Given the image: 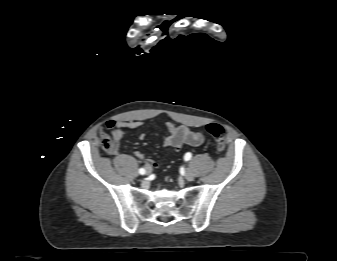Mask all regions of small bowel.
<instances>
[{
	"mask_svg": "<svg viewBox=\"0 0 337 261\" xmlns=\"http://www.w3.org/2000/svg\"><path fill=\"white\" fill-rule=\"evenodd\" d=\"M143 125L141 121H118L109 120L106 122V128L110 130L114 138V147L112 153H117L119 149V143L126 130L137 129ZM168 136L163 140V145L166 148L178 150L183 145L199 146L204 141V135L202 131H193L184 125H175L171 122L166 123ZM145 134L140 135V139L144 140ZM135 156L138 159L145 160V168L152 170L157 168L159 163L153 159H146L143 151L136 150Z\"/></svg>",
	"mask_w": 337,
	"mask_h": 261,
	"instance_id": "c3829d8e",
	"label": "small bowel"
}]
</instances>
